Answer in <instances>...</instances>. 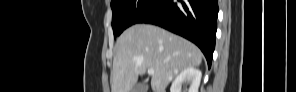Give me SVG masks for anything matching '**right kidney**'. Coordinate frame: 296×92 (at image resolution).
Instances as JSON below:
<instances>
[{
	"instance_id": "obj_1",
	"label": "right kidney",
	"mask_w": 296,
	"mask_h": 92,
	"mask_svg": "<svg viewBox=\"0 0 296 92\" xmlns=\"http://www.w3.org/2000/svg\"><path fill=\"white\" fill-rule=\"evenodd\" d=\"M202 73L199 69L188 67L182 70L172 82L170 92H181L182 83L187 81L190 84L188 92H198Z\"/></svg>"
}]
</instances>
